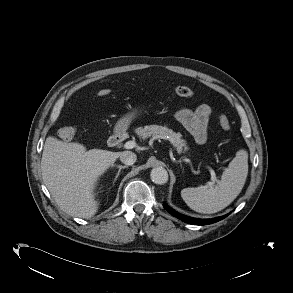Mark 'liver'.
I'll return each mask as SVG.
<instances>
[{
  "instance_id": "6515ba94",
  "label": "liver",
  "mask_w": 293,
  "mask_h": 293,
  "mask_svg": "<svg viewBox=\"0 0 293 293\" xmlns=\"http://www.w3.org/2000/svg\"><path fill=\"white\" fill-rule=\"evenodd\" d=\"M120 154L87 150L80 143L48 136L41 159L42 178L61 210L71 216L91 218L99 206L94 192L98 180Z\"/></svg>"
}]
</instances>
